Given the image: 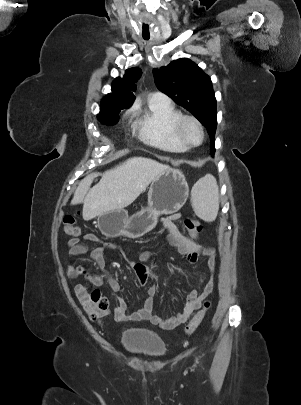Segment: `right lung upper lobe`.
<instances>
[{"instance_id": "1", "label": "right lung upper lobe", "mask_w": 301, "mask_h": 405, "mask_svg": "<svg viewBox=\"0 0 301 405\" xmlns=\"http://www.w3.org/2000/svg\"><path fill=\"white\" fill-rule=\"evenodd\" d=\"M139 68L127 69L123 78H116L112 83V93L108 94L101 102V111L104 113L115 112L129 108L135 96V82L141 77Z\"/></svg>"}]
</instances>
